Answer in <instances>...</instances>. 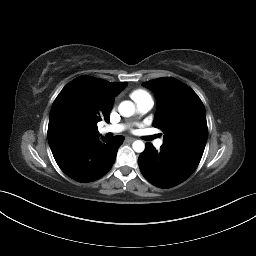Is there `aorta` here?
<instances>
[{
    "instance_id": "obj_1",
    "label": "aorta",
    "mask_w": 256,
    "mask_h": 256,
    "mask_svg": "<svg viewBox=\"0 0 256 256\" xmlns=\"http://www.w3.org/2000/svg\"><path fill=\"white\" fill-rule=\"evenodd\" d=\"M118 112L123 117H130L135 114V105L131 101H123L118 107ZM132 148L135 152L141 153L145 149V144L141 140H136L133 142Z\"/></svg>"
}]
</instances>
